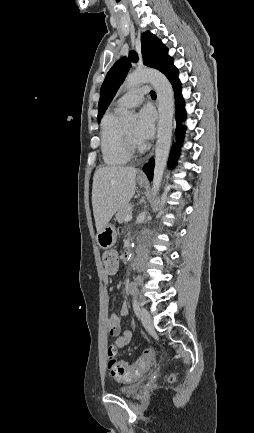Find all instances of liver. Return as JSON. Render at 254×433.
I'll list each match as a JSON object with an SVG mask.
<instances>
[{
  "mask_svg": "<svg viewBox=\"0 0 254 433\" xmlns=\"http://www.w3.org/2000/svg\"><path fill=\"white\" fill-rule=\"evenodd\" d=\"M137 169L122 166L99 167L93 177L92 207L97 232L129 203L136 189Z\"/></svg>",
  "mask_w": 254,
  "mask_h": 433,
  "instance_id": "liver-1",
  "label": "liver"
}]
</instances>
